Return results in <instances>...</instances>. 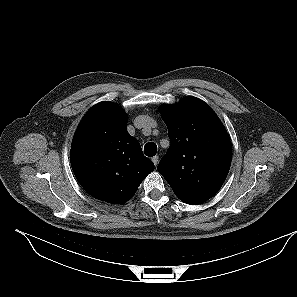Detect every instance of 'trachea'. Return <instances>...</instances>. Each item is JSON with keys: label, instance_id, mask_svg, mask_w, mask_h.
<instances>
[{"label": "trachea", "instance_id": "3493384b", "mask_svg": "<svg viewBox=\"0 0 297 297\" xmlns=\"http://www.w3.org/2000/svg\"><path fill=\"white\" fill-rule=\"evenodd\" d=\"M144 153L148 157L155 156L157 153V146L153 142H149L144 146Z\"/></svg>", "mask_w": 297, "mask_h": 297}]
</instances>
